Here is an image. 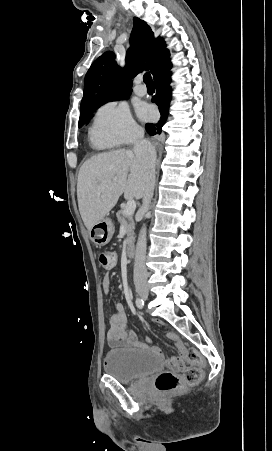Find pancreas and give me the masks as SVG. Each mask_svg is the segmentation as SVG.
<instances>
[{
	"mask_svg": "<svg viewBox=\"0 0 272 451\" xmlns=\"http://www.w3.org/2000/svg\"><path fill=\"white\" fill-rule=\"evenodd\" d=\"M117 218H118V222H120V224H122V226L125 227L126 233H127L128 245H131V243H134V239H135V237H134L135 224H134L133 216H124V212H122V210H120V212H117Z\"/></svg>",
	"mask_w": 272,
	"mask_h": 451,
	"instance_id": "cf45deb5",
	"label": "pancreas"
}]
</instances>
